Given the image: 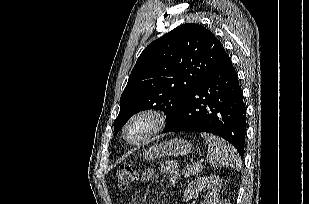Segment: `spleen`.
<instances>
[{"mask_svg": "<svg viewBox=\"0 0 309 204\" xmlns=\"http://www.w3.org/2000/svg\"><path fill=\"white\" fill-rule=\"evenodd\" d=\"M200 135L208 143L207 161L212 167H232L237 170L241 168L240 156L232 145L208 133L203 132Z\"/></svg>", "mask_w": 309, "mask_h": 204, "instance_id": "spleen-1", "label": "spleen"}]
</instances>
